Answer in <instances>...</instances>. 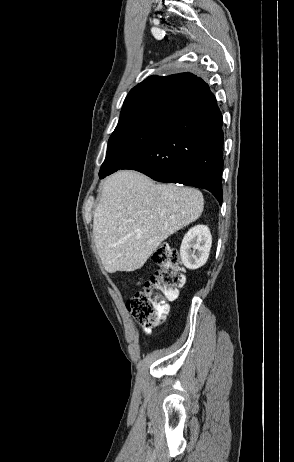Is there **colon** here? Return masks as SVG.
I'll use <instances>...</instances> for the list:
<instances>
[{
    "label": "colon",
    "mask_w": 294,
    "mask_h": 462,
    "mask_svg": "<svg viewBox=\"0 0 294 462\" xmlns=\"http://www.w3.org/2000/svg\"><path fill=\"white\" fill-rule=\"evenodd\" d=\"M156 270L142 290L127 302L133 319L145 326L161 323L168 312L166 300H174L185 283L184 267L178 252L168 245L159 246L152 255Z\"/></svg>",
    "instance_id": "obj_1"
}]
</instances>
